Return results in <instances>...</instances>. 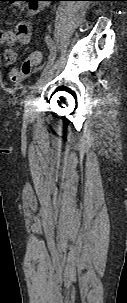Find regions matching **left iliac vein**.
<instances>
[{"instance_id": "4c4485c4", "label": "left iliac vein", "mask_w": 127, "mask_h": 303, "mask_svg": "<svg viewBox=\"0 0 127 303\" xmlns=\"http://www.w3.org/2000/svg\"><path fill=\"white\" fill-rule=\"evenodd\" d=\"M59 65V61L53 65L47 72L43 73L39 80L37 81V87L35 90L31 92L30 97L27 99L25 103V115L27 118H31L33 116V100L35 96L42 90V88L51 80L54 70Z\"/></svg>"}]
</instances>
